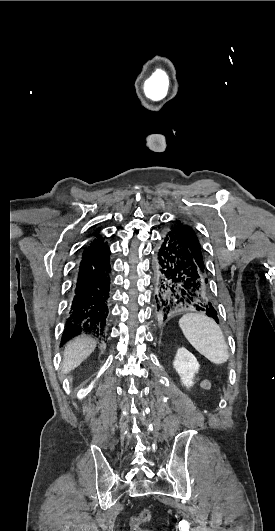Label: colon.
<instances>
[{"label": "colon", "instance_id": "colon-1", "mask_svg": "<svg viewBox=\"0 0 275 531\" xmlns=\"http://www.w3.org/2000/svg\"><path fill=\"white\" fill-rule=\"evenodd\" d=\"M151 512L147 508L140 509L135 516L131 519L130 530L131 531H144L143 525L150 521Z\"/></svg>", "mask_w": 275, "mask_h": 531}]
</instances>
